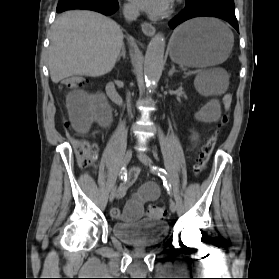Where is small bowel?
I'll return each mask as SVG.
<instances>
[{"instance_id": "small-bowel-1", "label": "small bowel", "mask_w": 279, "mask_h": 279, "mask_svg": "<svg viewBox=\"0 0 279 279\" xmlns=\"http://www.w3.org/2000/svg\"><path fill=\"white\" fill-rule=\"evenodd\" d=\"M67 106L71 122L79 133H87L93 123H97L105 129H108L112 124L110 108L102 95H91L83 90H75L68 95ZM196 116L200 121H216L220 117L219 102L210 100ZM138 174L139 168H132L126 186L131 185ZM122 193L123 191L120 192V194ZM159 195V187L153 182H147L126 203L123 211L113 208L111 214L117 219H139L143 216V205L146 202L156 200Z\"/></svg>"}]
</instances>
